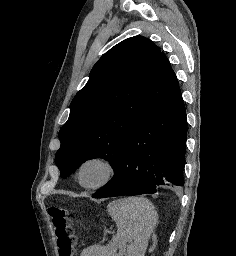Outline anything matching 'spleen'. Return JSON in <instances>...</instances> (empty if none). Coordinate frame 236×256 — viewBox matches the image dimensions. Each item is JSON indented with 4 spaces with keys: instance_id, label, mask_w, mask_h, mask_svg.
Masks as SVG:
<instances>
[{
    "instance_id": "obj_1",
    "label": "spleen",
    "mask_w": 236,
    "mask_h": 256,
    "mask_svg": "<svg viewBox=\"0 0 236 256\" xmlns=\"http://www.w3.org/2000/svg\"><path fill=\"white\" fill-rule=\"evenodd\" d=\"M107 212L116 222V236L106 246H90L82 256H119L116 252L121 246L126 248L125 256H145L157 222L155 206L146 198H122L110 202Z\"/></svg>"
}]
</instances>
